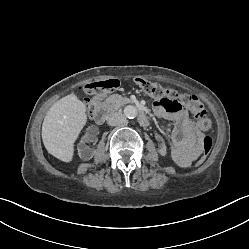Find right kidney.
I'll return each mask as SVG.
<instances>
[{
  "label": "right kidney",
  "instance_id": "1",
  "mask_svg": "<svg viewBox=\"0 0 249 249\" xmlns=\"http://www.w3.org/2000/svg\"><path fill=\"white\" fill-rule=\"evenodd\" d=\"M98 134V128L96 126H91L87 131L86 134L83 136L82 140L78 146V155L83 160H90L93 155L94 151L89 147L85 146V142L89 141L90 138H95Z\"/></svg>",
  "mask_w": 249,
  "mask_h": 249
}]
</instances>
